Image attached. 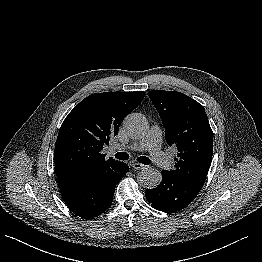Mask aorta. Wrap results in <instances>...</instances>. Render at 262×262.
Returning a JSON list of instances; mask_svg holds the SVG:
<instances>
[{"instance_id": "762f6f07", "label": "aorta", "mask_w": 262, "mask_h": 262, "mask_svg": "<svg viewBox=\"0 0 262 262\" xmlns=\"http://www.w3.org/2000/svg\"><path fill=\"white\" fill-rule=\"evenodd\" d=\"M123 127L131 137H140L145 133L147 124L141 114L131 113L125 117ZM137 181L143 188L153 189L160 185L162 174L157 169L146 168L138 174Z\"/></svg>"}]
</instances>
